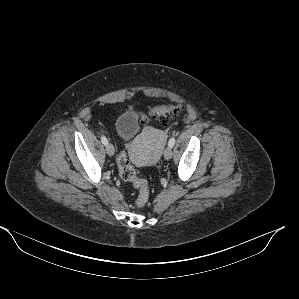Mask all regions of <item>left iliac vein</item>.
Returning <instances> with one entry per match:
<instances>
[{
    "mask_svg": "<svg viewBox=\"0 0 299 299\" xmlns=\"http://www.w3.org/2000/svg\"><path fill=\"white\" fill-rule=\"evenodd\" d=\"M171 157H172V147L168 146L164 151V158L166 160H169L171 159Z\"/></svg>",
    "mask_w": 299,
    "mask_h": 299,
    "instance_id": "obj_1",
    "label": "left iliac vein"
}]
</instances>
